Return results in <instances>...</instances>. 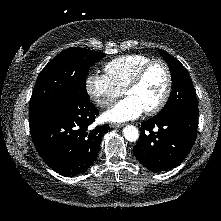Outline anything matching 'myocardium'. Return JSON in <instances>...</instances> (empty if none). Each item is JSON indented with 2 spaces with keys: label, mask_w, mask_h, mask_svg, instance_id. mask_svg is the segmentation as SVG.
<instances>
[{
  "label": "myocardium",
  "mask_w": 221,
  "mask_h": 221,
  "mask_svg": "<svg viewBox=\"0 0 221 221\" xmlns=\"http://www.w3.org/2000/svg\"><path fill=\"white\" fill-rule=\"evenodd\" d=\"M157 64L161 65L165 70V73H166V86H165L164 93H163L161 99L159 100V102L154 107L144 111V113L146 115H154V114L158 113L159 111H161L162 108L167 103L169 97H170V94H171V91H172L173 79H172V73H171L169 65L164 60L151 59L150 61L145 63L143 66H141L136 71V73L133 75V77L131 78V80L129 81V83L127 84V86L124 89V92L127 95V93L131 89L136 87L141 82V80L143 79V77L147 73V71L152 66L157 65Z\"/></svg>",
  "instance_id": "myocardium-1"
}]
</instances>
